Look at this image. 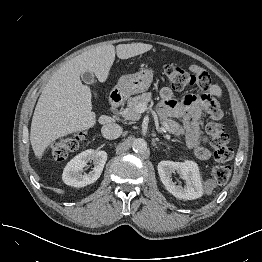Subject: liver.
Masks as SVG:
<instances>
[{
  "mask_svg": "<svg viewBox=\"0 0 262 262\" xmlns=\"http://www.w3.org/2000/svg\"><path fill=\"white\" fill-rule=\"evenodd\" d=\"M152 48L145 43L119 44L116 50L111 44L103 45L76 56L60 67L43 88L33 114L30 142L35 156L41 158L56 139L95 125L91 91L82 84V73H94L100 82H105L115 53L119 59H129ZM113 121L106 115L99 118L102 124Z\"/></svg>",
  "mask_w": 262,
  "mask_h": 262,
  "instance_id": "obj_1",
  "label": "liver"
}]
</instances>
